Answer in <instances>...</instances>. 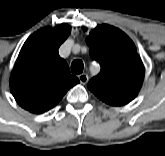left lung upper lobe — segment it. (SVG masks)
Instances as JSON below:
<instances>
[{
    "mask_svg": "<svg viewBox=\"0 0 165 156\" xmlns=\"http://www.w3.org/2000/svg\"><path fill=\"white\" fill-rule=\"evenodd\" d=\"M86 42L90 56L101 66L89 81V90L112 106L131 102L144 79V66L132 40L120 29L103 24L90 32Z\"/></svg>",
    "mask_w": 165,
    "mask_h": 156,
    "instance_id": "obj_1",
    "label": "left lung upper lobe"
}]
</instances>
